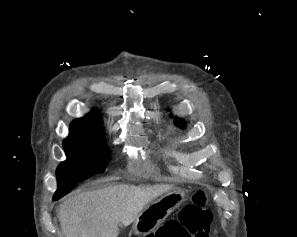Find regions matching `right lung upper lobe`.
Returning a JSON list of instances; mask_svg holds the SVG:
<instances>
[{
	"label": "right lung upper lobe",
	"instance_id": "obj_1",
	"mask_svg": "<svg viewBox=\"0 0 297 237\" xmlns=\"http://www.w3.org/2000/svg\"><path fill=\"white\" fill-rule=\"evenodd\" d=\"M71 131L76 132H98L103 129L102 119L97 110H93L88 115L76 119L70 126Z\"/></svg>",
	"mask_w": 297,
	"mask_h": 237
}]
</instances>
